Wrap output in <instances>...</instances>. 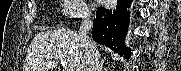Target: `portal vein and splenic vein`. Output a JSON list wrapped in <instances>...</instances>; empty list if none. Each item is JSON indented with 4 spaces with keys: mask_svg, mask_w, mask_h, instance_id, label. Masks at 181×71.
I'll use <instances>...</instances> for the list:
<instances>
[{
    "mask_svg": "<svg viewBox=\"0 0 181 71\" xmlns=\"http://www.w3.org/2000/svg\"><path fill=\"white\" fill-rule=\"evenodd\" d=\"M49 57V56H48ZM54 57L56 58V59H58V60H60V62H61V64L63 65V67L67 70V63H66V60H65V58H64V56H62V55H60V54H54ZM67 71H69V70H67Z\"/></svg>",
    "mask_w": 181,
    "mask_h": 71,
    "instance_id": "1",
    "label": "portal vein and splenic vein"
}]
</instances>
